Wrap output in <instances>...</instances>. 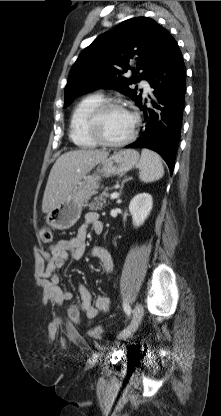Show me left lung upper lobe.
<instances>
[{"mask_svg":"<svg viewBox=\"0 0 221 416\" xmlns=\"http://www.w3.org/2000/svg\"><path fill=\"white\" fill-rule=\"evenodd\" d=\"M166 33L154 20L137 17L98 36L72 66L64 92V108L77 96L97 88L118 90L139 106L142 95L131 85L147 80ZM127 71H132L133 76L125 77Z\"/></svg>","mask_w":221,"mask_h":416,"instance_id":"1","label":"left lung upper lobe"}]
</instances>
